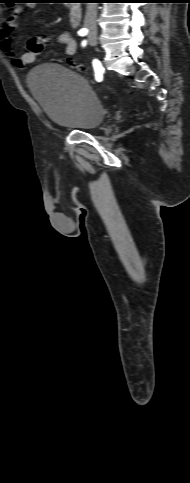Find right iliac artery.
Segmentation results:
<instances>
[{
	"label": "right iliac artery",
	"instance_id": "1",
	"mask_svg": "<svg viewBox=\"0 0 190 483\" xmlns=\"http://www.w3.org/2000/svg\"><path fill=\"white\" fill-rule=\"evenodd\" d=\"M87 33H88V30L85 29V28H82L78 31V34L80 36H85V35H87ZM93 67H94V70H95L96 80L99 82V81H101L100 73L102 72L103 68H102L100 62L97 61V60L93 61Z\"/></svg>",
	"mask_w": 190,
	"mask_h": 483
}]
</instances>
